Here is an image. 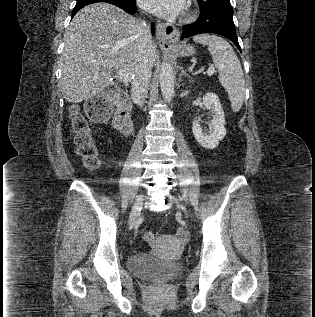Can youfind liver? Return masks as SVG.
Returning a JSON list of instances; mask_svg holds the SVG:
<instances>
[{
    "label": "liver",
    "mask_w": 315,
    "mask_h": 317,
    "mask_svg": "<svg viewBox=\"0 0 315 317\" xmlns=\"http://www.w3.org/2000/svg\"><path fill=\"white\" fill-rule=\"evenodd\" d=\"M141 22L122 9L96 3L81 9L65 35L61 56V91L70 103L100 93L111 82L112 70L122 69L131 80L138 66ZM151 68L158 59L153 40L148 44Z\"/></svg>",
    "instance_id": "liver-1"
}]
</instances>
